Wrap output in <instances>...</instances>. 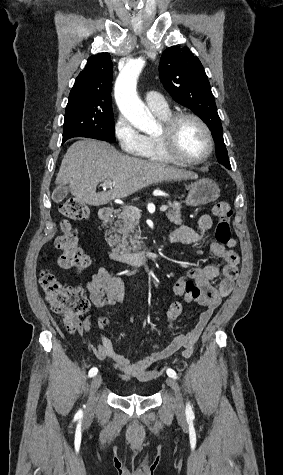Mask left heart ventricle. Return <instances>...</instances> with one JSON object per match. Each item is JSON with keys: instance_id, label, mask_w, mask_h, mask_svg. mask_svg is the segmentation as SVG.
Returning a JSON list of instances; mask_svg holds the SVG:
<instances>
[{"instance_id": "left-heart-ventricle-1", "label": "left heart ventricle", "mask_w": 283, "mask_h": 475, "mask_svg": "<svg viewBox=\"0 0 283 475\" xmlns=\"http://www.w3.org/2000/svg\"><path fill=\"white\" fill-rule=\"evenodd\" d=\"M165 149L171 157H198L207 150L205 132L195 120L183 119L177 126L174 143H166Z\"/></svg>"}]
</instances>
